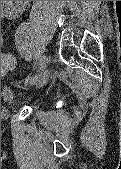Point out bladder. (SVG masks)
<instances>
[{"label": "bladder", "mask_w": 121, "mask_h": 169, "mask_svg": "<svg viewBox=\"0 0 121 169\" xmlns=\"http://www.w3.org/2000/svg\"><path fill=\"white\" fill-rule=\"evenodd\" d=\"M2 96L10 104H15L18 101L17 94L10 87H5L2 91Z\"/></svg>", "instance_id": "1"}]
</instances>
